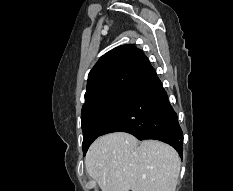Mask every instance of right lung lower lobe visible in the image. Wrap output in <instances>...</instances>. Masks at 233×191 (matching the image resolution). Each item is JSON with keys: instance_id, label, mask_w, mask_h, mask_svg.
<instances>
[{"instance_id": "98d812e1", "label": "right lung lower lobe", "mask_w": 233, "mask_h": 191, "mask_svg": "<svg viewBox=\"0 0 233 191\" xmlns=\"http://www.w3.org/2000/svg\"><path fill=\"white\" fill-rule=\"evenodd\" d=\"M128 92L126 105L99 136L127 132L139 140L156 139L168 143L182 156L183 133L177 114L150 63Z\"/></svg>"}]
</instances>
